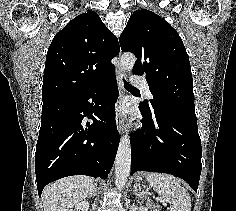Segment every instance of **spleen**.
Instances as JSON below:
<instances>
[{"label": "spleen", "mask_w": 236, "mask_h": 211, "mask_svg": "<svg viewBox=\"0 0 236 211\" xmlns=\"http://www.w3.org/2000/svg\"><path fill=\"white\" fill-rule=\"evenodd\" d=\"M147 181L159 196L170 204L171 211H191V199L180 180L163 173H150Z\"/></svg>", "instance_id": "spleen-1"}]
</instances>
